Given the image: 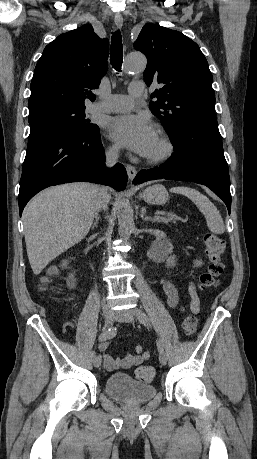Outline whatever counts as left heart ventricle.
I'll return each instance as SVG.
<instances>
[{
  "mask_svg": "<svg viewBox=\"0 0 257 459\" xmlns=\"http://www.w3.org/2000/svg\"><path fill=\"white\" fill-rule=\"evenodd\" d=\"M162 150H163V145H162L159 137L156 134V137H155V140L153 142V145H152V147H151V149H150V151L148 152L147 155H157V154L161 153Z\"/></svg>",
  "mask_w": 257,
  "mask_h": 459,
  "instance_id": "left-heart-ventricle-1",
  "label": "left heart ventricle"
}]
</instances>
